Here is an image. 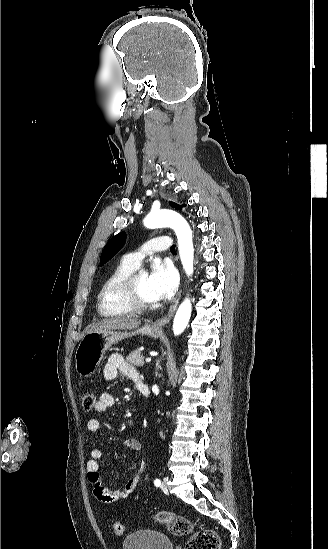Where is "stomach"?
Masks as SVG:
<instances>
[{
	"mask_svg": "<svg viewBox=\"0 0 328 549\" xmlns=\"http://www.w3.org/2000/svg\"><path fill=\"white\" fill-rule=\"evenodd\" d=\"M136 335H150L157 337L154 327L144 325L137 331H101V333H86L75 353L76 371L79 377H92L98 369L107 349L112 345L136 337Z\"/></svg>",
	"mask_w": 328,
	"mask_h": 549,
	"instance_id": "stomach-1",
	"label": "stomach"
}]
</instances>
